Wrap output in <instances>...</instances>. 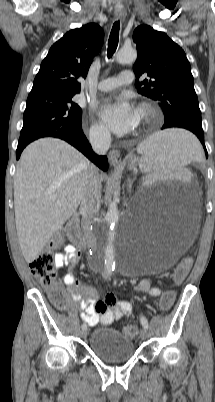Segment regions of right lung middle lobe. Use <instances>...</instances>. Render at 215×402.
Instances as JSON below:
<instances>
[{"label":"right lung middle lobe","instance_id":"obj_1","mask_svg":"<svg viewBox=\"0 0 215 402\" xmlns=\"http://www.w3.org/2000/svg\"><path fill=\"white\" fill-rule=\"evenodd\" d=\"M72 94L43 93L28 96L18 145L41 136L81 127V108Z\"/></svg>","mask_w":215,"mask_h":402}]
</instances>
